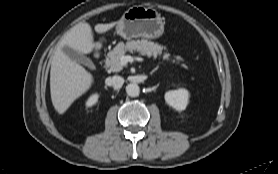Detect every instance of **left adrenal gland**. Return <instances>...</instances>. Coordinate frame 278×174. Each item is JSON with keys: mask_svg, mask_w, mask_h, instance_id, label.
I'll use <instances>...</instances> for the list:
<instances>
[{"mask_svg": "<svg viewBox=\"0 0 278 174\" xmlns=\"http://www.w3.org/2000/svg\"><path fill=\"white\" fill-rule=\"evenodd\" d=\"M158 70V67H156L155 69L152 70V72L150 73L151 75L156 72Z\"/></svg>", "mask_w": 278, "mask_h": 174, "instance_id": "a2214340", "label": "left adrenal gland"}]
</instances>
